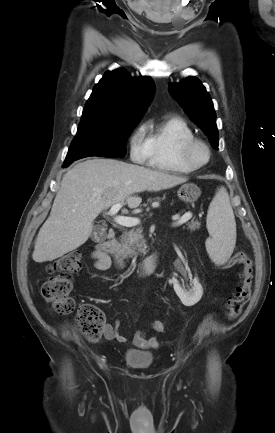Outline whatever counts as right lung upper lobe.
<instances>
[{
	"label": "right lung upper lobe",
	"instance_id": "obj_1",
	"mask_svg": "<svg viewBox=\"0 0 275 433\" xmlns=\"http://www.w3.org/2000/svg\"><path fill=\"white\" fill-rule=\"evenodd\" d=\"M153 93L154 82L150 77L132 78L124 69L108 71L94 86L81 122L139 121Z\"/></svg>",
	"mask_w": 275,
	"mask_h": 433
}]
</instances>
